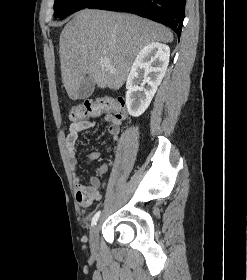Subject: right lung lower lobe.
I'll list each match as a JSON object with an SVG mask.
<instances>
[{
    "instance_id": "obj_1",
    "label": "right lung lower lobe",
    "mask_w": 247,
    "mask_h": 280,
    "mask_svg": "<svg viewBox=\"0 0 247 280\" xmlns=\"http://www.w3.org/2000/svg\"><path fill=\"white\" fill-rule=\"evenodd\" d=\"M186 0H97L89 8L137 14L170 27L181 35Z\"/></svg>"
}]
</instances>
